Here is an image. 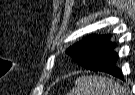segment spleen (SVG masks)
<instances>
[{
    "mask_svg": "<svg viewBox=\"0 0 135 95\" xmlns=\"http://www.w3.org/2000/svg\"><path fill=\"white\" fill-rule=\"evenodd\" d=\"M68 95H127L124 87L111 78L102 76H81Z\"/></svg>",
    "mask_w": 135,
    "mask_h": 95,
    "instance_id": "obj_1",
    "label": "spleen"
}]
</instances>
